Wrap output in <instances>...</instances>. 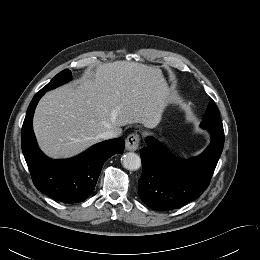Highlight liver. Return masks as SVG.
I'll use <instances>...</instances> for the list:
<instances>
[{
    "instance_id": "6515ba94",
    "label": "liver",
    "mask_w": 260,
    "mask_h": 260,
    "mask_svg": "<svg viewBox=\"0 0 260 260\" xmlns=\"http://www.w3.org/2000/svg\"><path fill=\"white\" fill-rule=\"evenodd\" d=\"M169 90L159 68L115 61L86 73L78 83L47 92L39 101L33 128L42 151L69 158L99 142L106 130L140 123L156 127Z\"/></svg>"
}]
</instances>
